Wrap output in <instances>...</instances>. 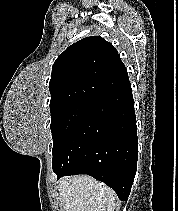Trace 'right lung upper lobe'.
Returning <instances> with one entry per match:
<instances>
[{
  "mask_svg": "<svg viewBox=\"0 0 178 211\" xmlns=\"http://www.w3.org/2000/svg\"><path fill=\"white\" fill-rule=\"evenodd\" d=\"M113 45L100 36L81 39L59 55L52 67L50 108L75 101H98L129 84Z\"/></svg>",
  "mask_w": 178,
  "mask_h": 211,
  "instance_id": "1",
  "label": "right lung upper lobe"
}]
</instances>
